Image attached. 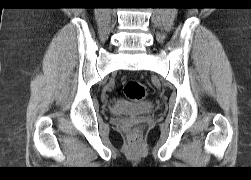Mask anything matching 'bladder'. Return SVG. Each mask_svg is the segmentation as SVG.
Wrapping results in <instances>:
<instances>
[{
    "label": "bladder",
    "mask_w": 251,
    "mask_h": 180,
    "mask_svg": "<svg viewBox=\"0 0 251 180\" xmlns=\"http://www.w3.org/2000/svg\"><path fill=\"white\" fill-rule=\"evenodd\" d=\"M154 110L151 102L132 103L124 100L116 101L111 107V113L115 115H141Z\"/></svg>",
    "instance_id": "bladder-1"
}]
</instances>
